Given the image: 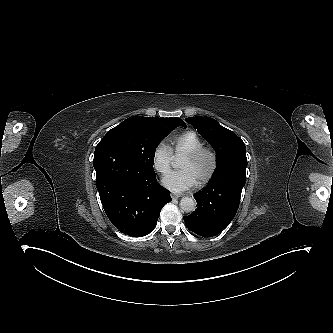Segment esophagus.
Wrapping results in <instances>:
<instances>
[{
  "label": "esophagus",
  "mask_w": 333,
  "mask_h": 333,
  "mask_svg": "<svg viewBox=\"0 0 333 333\" xmlns=\"http://www.w3.org/2000/svg\"><path fill=\"white\" fill-rule=\"evenodd\" d=\"M180 197V195H178V194H171V198L173 199V200H176V199H178Z\"/></svg>",
  "instance_id": "obj_1"
}]
</instances>
